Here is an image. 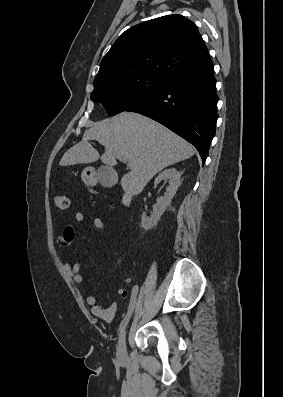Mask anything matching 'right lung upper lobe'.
<instances>
[{
	"label": "right lung upper lobe",
	"instance_id": "1",
	"mask_svg": "<svg viewBox=\"0 0 283 397\" xmlns=\"http://www.w3.org/2000/svg\"><path fill=\"white\" fill-rule=\"evenodd\" d=\"M210 62L192 21L182 15L162 16L126 30L102 59L94 82L139 75L167 80Z\"/></svg>",
	"mask_w": 283,
	"mask_h": 397
}]
</instances>
